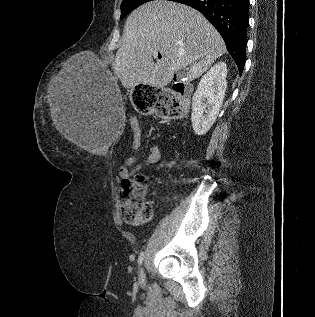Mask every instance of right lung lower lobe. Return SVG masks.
Instances as JSON below:
<instances>
[{
    "instance_id": "obj_1",
    "label": "right lung lower lobe",
    "mask_w": 315,
    "mask_h": 317,
    "mask_svg": "<svg viewBox=\"0 0 315 317\" xmlns=\"http://www.w3.org/2000/svg\"><path fill=\"white\" fill-rule=\"evenodd\" d=\"M200 11L223 37L241 75L246 60L249 0H175Z\"/></svg>"
}]
</instances>
